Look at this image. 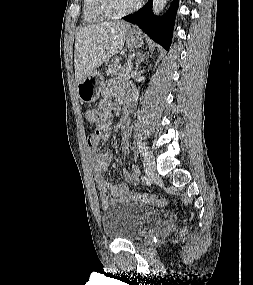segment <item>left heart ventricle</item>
<instances>
[{
    "instance_id": "b2bd125f",
    "label": "left heart ventricle",
    "mask_w": 253,
    "mask_h": 285,
    "mask_svg": "<svg viewBox=\"0 0 253 285\" xmlns=\"http://www.w3.org/2000/svg\"><path fill=\"white\" fill-rule=\"evenodd\" d=\"M137 0H112L113 6L118 10L131 7Z\"/></svg>"
}]
</instances>
